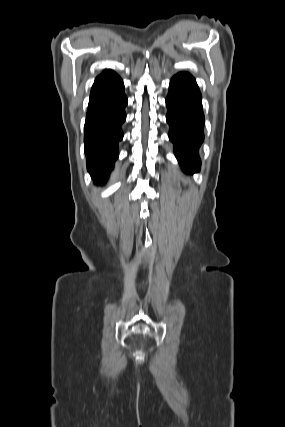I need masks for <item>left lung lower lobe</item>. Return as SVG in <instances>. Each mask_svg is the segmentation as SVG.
I'll return each mask as SVG.
<instances>
[{"mask_svg": "<svg viewBox=\"0 0 285 427\" xmlns=\"http://www.w3.org/2000/svg\"><path fill=\"white\" fill-rule=\"evenodd\" d=\"M202 97L194 78L186 72L175 75L166 98L169 138L175 155L188 173L198 172V149L204 140Z\"/></svg>", "mask_w": 285, "mask_h": 427, "instance_id": "0a47b994", "label": "left lung lower lobe"}]
</instances>
